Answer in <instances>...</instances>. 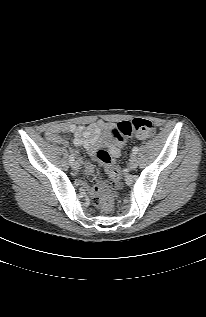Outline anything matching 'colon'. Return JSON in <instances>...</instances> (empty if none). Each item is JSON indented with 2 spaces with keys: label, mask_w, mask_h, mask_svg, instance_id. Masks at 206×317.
<instances>
[{
  "label": "colon",
  "mask_w": 206,
  "mask_h": 317,
  "mask_svg": "<svg viewBox=\"0 0 206 317\" xmlns=\"http://www.w3.org/2000/svg\"><path fill=\"white\" fill-rule=\"evenodd\" d=\"M111 136L117 141H122L125 137L135 134L138 138L148 139L155 133L154 124L142 118H134L129 121L119 122L110 130ZM96 158L105 166L111 181H100L97 185L100 197L97 199L104 211H110L113 205L111 189L119 185L121 171L115 165L110 153L104 149H98L95 154Z\"/></svg>",
  "instance_id": "obj_1"
}]
</instances>
